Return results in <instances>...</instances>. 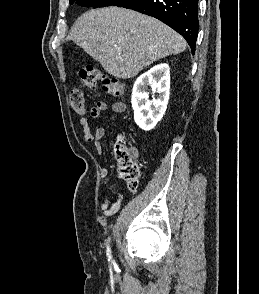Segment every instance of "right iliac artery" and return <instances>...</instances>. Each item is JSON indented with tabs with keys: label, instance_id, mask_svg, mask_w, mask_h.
Segmentation results:
<instances>
[{
	"label": "right iliac artery",
	"instance_id": "obj_1",
	"mask_svg": "<svg viewBox=\"0 0 259 294\" xmlns=\"http://www.w3.org/2000/svg\"><path fill=\"white\" fill-rule=\"evenodd\" d=\"M107 256H108V261H110L111 260V252H110V248H109V246H107Z\"/></svg>",
	"mask_w": 259,
	"mask_h": 294
}]
</instances>
